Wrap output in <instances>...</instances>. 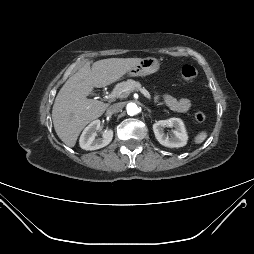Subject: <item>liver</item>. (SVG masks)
I'll use <instances>...</instances> for the list:
<instances>
[{"label":"liver","instance_id":"1","mask_svg":"<svg viewBox=\"0 0 254 254\" xmlns=\"http://www.w3.org/2000/svg\"><path fill=\"white\" fill-rule=\"evenodd\" d=\"M141 61V58H109L86 62L69 77L57 94L52 120L58 137L69 147H74L82 129L99 118L108 105L88 99L93 88H101L119 80Z\"/></svg>","mask_w":254,"mask_h":254}]
</instances>
